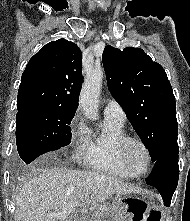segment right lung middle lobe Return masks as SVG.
I'll return each instance as SVG.
<instances>
[{
    "label": "right lung middle lobe",
    "mask_w": 190,
    "mask_h": 221,
    "mask_svg": "<svg viewBox=\"0 0 190 221\" xmlns=\"http://www.w3.org/2000/svg\"><path fill=\"white\" fill-rule=\"evenodd\" d=\"M75 111L32 108L16 115V143L20 158L29 164L38 156L69 145V126Z\"/></svg>",
    "instance_id": "1"
}]
</instances>
